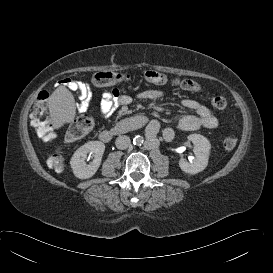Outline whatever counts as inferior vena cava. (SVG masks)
<instances>
[{"label":"inferior vena cava","mask_w":273,"mask_h":273,"mask_svg":"<svg viewBox=\"0 0 273 273\" xmlns=\"http://www.w3.org/2000/svg\"><path fill=\"white\" fill-rule=\"evenodd\" d=\"M115 144L118 149L124 150L131 145V140L126 135H120L117 137Z\"/></svg>","instance_id":"1"}]
</instances>
